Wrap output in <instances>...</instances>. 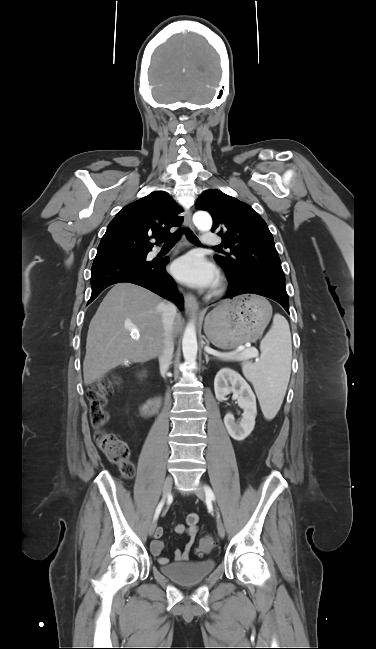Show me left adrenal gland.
Returning <instances> with one entry per match:
<instances>
[{
    "mask_svg": "<svg viewBox=\"0 0 376 649\" xmlns=\"http://www.w3.org/2000/svg\"><path fill=\"white\" fill-rule=\"evenodd\" d=\"M204 356H205V360H206V364H207L209 362L210 358H209V356H208V354L206 352L204 353Z\"/></svg>",
    "mask_w": 376,
    "mask_h": 649,
    "instance_id": "obj_1",
    "label": "left adrenal gland"
}]
</instances>
